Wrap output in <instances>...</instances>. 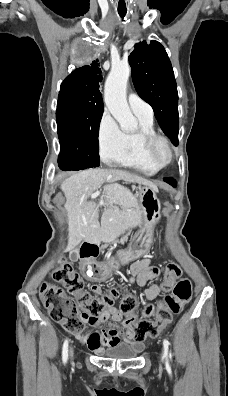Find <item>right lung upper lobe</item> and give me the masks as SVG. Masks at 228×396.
Segmentation results:
<instances>
[{
    "label": "right lung upper lobe",
    "mask_w": 228,
    "mask_h": 396,
    "mask_svg": "<svg viewBox=\"0 0 228 396\" xmlns=\"http://www.w3.org/2000/svg\"><path fill=\"white\" fill-rule=\"evenodd\" d=\"M98 59L89 65L75 69L65 78L60 87L62 94H70L89 107H103L99 82L102 81Z\"/></svg>",
    "instance_id": "1"
}]
</instances>
